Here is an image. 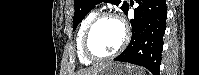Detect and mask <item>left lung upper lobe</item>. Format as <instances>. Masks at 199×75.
<instances>
[{"instance_id": "obj_1", "label": "left lung upper lobe", "mask_w": 199, "mask_h": 75, "mask_svg": "<svg viewBox=\"0 0 199 75\" xmlns=\"http://www.w3.org/2000/svg\"><path fill=\"white\" fill-rule=\"evenodd\" d=\"M109 2L115 5H119L121 0H75V13L73 18V30L77 28L79 23L84 19V17L100 2ZM123 12L126 13L128 9V4L124 1L121 6Z\"/></svg>"}]
</instances>
